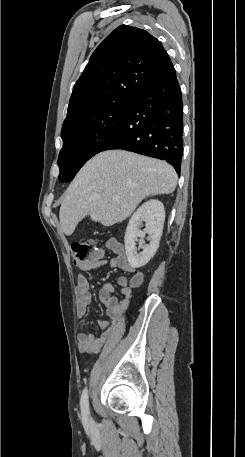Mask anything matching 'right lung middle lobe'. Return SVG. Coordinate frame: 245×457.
<instances>
[{"label":"right lung middle lobe","instance_id":"obj_1","mask_svg":"<svg viewBox=\"0 0 245 457\" xmlns=\"http://www.w3.org/2000/svg\"><path fill=\"white\" fill-rule=\"evenodd\" d=\"M131 103L114 101L63 123V147L58 157L61 182L71 181L91 157L101 152L122 123Z\"/></svg>","mask_w":245,"mask_h":457}]
</instances>
